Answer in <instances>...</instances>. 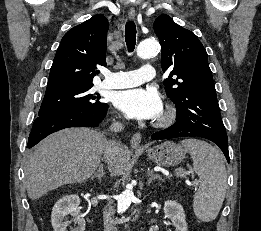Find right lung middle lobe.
Instances as JSON below:
<instances>
[{
    "mask_svg": "<svg viewBox=\"0 0 261 231\" xmlns=\"http://www.w3.org/2000/svg\"><path fill=\"white\" fill-rule=\"evenodd\" d=\"M92 86L47 88L38 116H48L67 110L101 108L105 103L89 92Z\"/></svg>",
    "mask_w": 261,
    "mask_h": 231,
    "instance_id": "dd1d6c3e",
    "label": "right lung middle lobe"
}]
</instances>
